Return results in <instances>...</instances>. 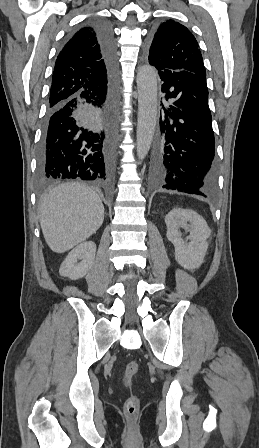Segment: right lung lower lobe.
<instances>
[{
	"mask_svg": "<svg viewBox=\"0 0 259 448\" xmlns=\"http://www.w3.org/2000/svg\"><path fill=\"white\" fill-rule=\"evenodd\" d=\"M83 27L93 28L96 34L108 82L97 91L48 105L37 152L41 183L52 179L106 180L111 173L116 135L115 40L107 22L96 20Z\"/></svg>",
	"mask_w": 259,
	"mask_h": 448,
	"instance_id": "98d812e1",
	"label": "right lung lower lobe"
}]
</instances>
